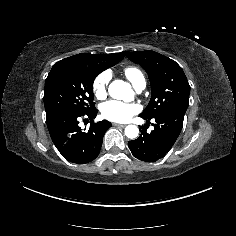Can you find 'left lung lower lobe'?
<instances>
[{
  "label": "left lung lower lobe",
  "instance_id": "obj_1",
  "mask_svg": "<svg viewBox=\"0 0 236 236\" xmlns=\"http://www.w3.org/2000/svg\"><path fill=\"white\" fill-rule=\"evenodd\" d=\"M185 112L186 109L183 108H172L151 119H145L146 123H150V120L155 122L152 124L154 129L147 133L142 126L141 135L128 142L132 154L145 162H155L163 158L181 132Z\"/></svg>",
  "mask_w": 236,
  "mask_h": 236
}]
</instances>
